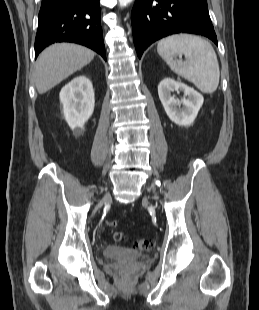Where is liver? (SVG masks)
<instances>
[{
    "label": "liver",
    "mask_w": 259,
    "mask_h": 310,
    "mask_svg": "<svg viewBox=\"0 0 259 310\" xmlns=\"http://www.w3.org/2000/svg\"><path fill=\"white\" fill-rule=\"evenodd\" d=\"M95 53L81 45L54 44L38 57L35 66V86L40 94L47 92L77 70L89 64Z\"/></svg>",
    "instance_id": "1"
}]
</instances>
